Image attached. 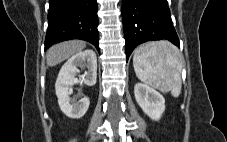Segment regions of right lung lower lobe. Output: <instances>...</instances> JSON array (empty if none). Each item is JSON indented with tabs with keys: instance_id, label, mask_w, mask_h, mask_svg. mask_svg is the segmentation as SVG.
Masks as SVG:
<instances>
[{
	"instance_id": "right-lung-lower-lobe-1",
	"label": "right lung lower lobe",
	"mask_w": 227,
	"mask_h": 142,
	"mask_svg": "<svg viewBox=\"0 0 227 142\" xmlns=\"http://www.w3.org/2000/svg\"><path fill=\"white\" fill-rule=\"evenodd\" d=\"M97 10L96 0H49L45 49L61 41L81 39L99 51Z\"/></svg>"
}]
</instances>
